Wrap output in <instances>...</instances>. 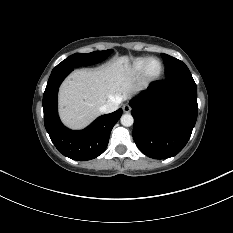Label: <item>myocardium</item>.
<instances>
[{
  "label": "myocardium",
  "instance_id": "myocardium-1",
  "mask_svg": "<svg viewBox=\"0 0 233 233\" xmlns=\"http://www.w3.org/2000/svg\"><path fill=\"white\" fill-rule=\"evenodd\" d=\"M152 61H158L159 64H160L159 72L157 74H154V75L150 74L149 70H148L149 65H150V63ZM163 73H164V64H163V62L159 58L151 57L146 61L145 65H144V68H143V71H142V78L146 82H153V81H156V80L160 79L161 76L163 75Z\"/></svg>",
  "mask_w": 233,
  "mask_h": 233
}]
</instances>
